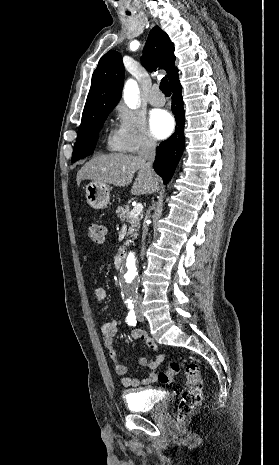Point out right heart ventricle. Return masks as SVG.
Returning a JSON list of instances; mask_svg holds the SVG:
<instances>
[{
    "instance_id": "obj_1",
    "label": "right heart ventricle",
    "mask_w": 279,
    "mask_h": 465,
    "mask_svg": "<svg viewBox=\"0 0 279 465\" xmlns=\"http://www.w3.org/2000/svg\"><path fill=\"white\" fill-rule=\"evenodd\" d=\"M108 147H109L110 149H112V150H115V149L120 150V149L112 142V140L109 141Z\"/></svg>"
}]
</instances>
